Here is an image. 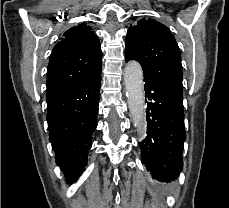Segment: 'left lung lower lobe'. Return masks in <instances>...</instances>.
I'll return each instance as SVG.
<instances>
[{
	"instance_id": "0a47b994",
	"label": "left lung lower lobe",
	"mask_w": 229,
	"mask_h": 208,
	"mask_svg": "<svg viewBox=\"0 0 229 208\" xmlns=\"http://www.w3.org/2000/svg\"><path fill=\"white\" fill-rule=\"evenodd\" d=\"M147 137L140 144L141 161L160 182H172L182 171L184 130L183 102L145 82ZM150 101V102H148Z\"/></svg>"
}]
</instances>
